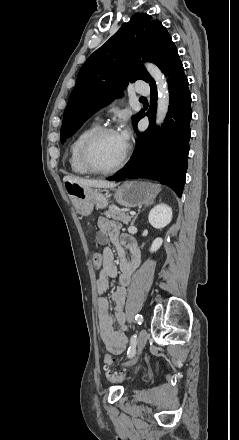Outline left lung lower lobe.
Instances as JSON below:
<instances>
[{
  "instance_id": "left-lung-lower-lobe-1",
  "label": "left lung lower lobe",
  "mask_w": 239,
  "mask_h": 440,
  "mask_svg": "<svg viewBox=\"0 0 239 440\" xmlns=\"http://www.w3.org/2000/svg\"><path fill=\"white\" fill-rule=\"evenodd\" d=\"M161 70L167 76L170 92L167 117L160 129L154 126L157 89L154 80H151V104L147 111L150 125L143 133L137 131V122L145 116L142 111L134 124L137 148L131 161L123 171L108 180L143 177L164 180L173 184L177 195L181 197L187 170L192 111L188 80L175 46Z\"/></svg>"
}]
</instances>
